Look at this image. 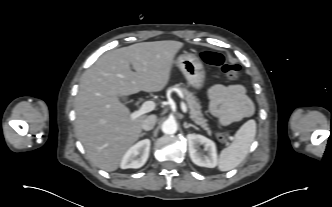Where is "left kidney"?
<instances>
[{
  "label": "left kidney",
  "instance_id": "obj_1",
  "mask_svg": "<svg viewBox=\"0 0 332 207\" xmlns=\"http://www.w3.org/2000/svg\"><path fill=\"white\" fill-rule=\"evenodd\" d=\"M188 150L192 162L198 166L214 168L217 166V151L215 143L197 134H188ZM200 145L204 146L206 154L200 152Z\"/></svg>",
  "mask_w": 332,
  "mask_h": 207
}]
</instances>
